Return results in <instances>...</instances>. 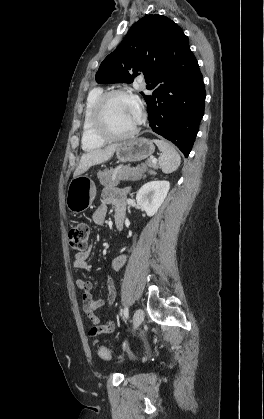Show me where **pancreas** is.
Masks as SVG:
<instances>
[{"label": "pancreas", "instance_id": "pancreas-1", "mask_svg": "<svg viewBox=\"0 0 264 419\" xmlns=\"http://www.w3.org/2000/svg\"><path fill=\"white\" fill-rule=\"evenodd\" d=\"M148 167L157 168V165L151 159L147 160L146 164L138 165L137 167L118 166L115 169H105L97 173V177L105 188L112 189L119 184L121 180L134 181L145 177L144 173Z\"/></svg>", "mask_w": 264, "mask_h": 419}]
</instances>
